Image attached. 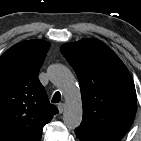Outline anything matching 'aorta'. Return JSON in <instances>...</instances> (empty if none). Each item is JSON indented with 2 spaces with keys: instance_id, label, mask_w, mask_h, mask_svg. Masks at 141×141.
<instances>
[{
  "instance_id": "762f6f07",
  "label": "aorta",
  "mask_w": 141,
  "mask_h": 141,
  "mask_svg": "<svg viewBox=\"0 0 141 141\" xmlns=\"http://www.w3.org/2000/svg\"><path fill=\"white\" fill-rule=\"evenodd\" d=\"M51 82L58 87L65 98L66 108L63 121L67 128H77L82 121L83 109L80 89L70 69L62 64H53L48 68Z\"/></svg>"
}]
</instances>
